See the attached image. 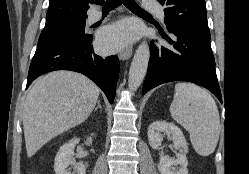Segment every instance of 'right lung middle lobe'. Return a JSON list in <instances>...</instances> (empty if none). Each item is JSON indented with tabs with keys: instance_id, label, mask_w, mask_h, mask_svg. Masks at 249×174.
I'll use <instances>...</instances> for the list:
<instances>
[{
	"instance_id": "obj_1",
	"label": "right lung middle lobe",
	"mask_w": 249,
	"mask_h": 174,
	"mask_svg": "<svg viewBox=\"0 0 249 174\" xmlns=\"http://www.w3.org/2000/svg\"><path fill=\"white\" fill-rule=\"evenodd\" d=\"M85 19L70 20L44 27L40 34L37 47H42L65 38H83L85 34Z\"/></svg>"
}]
</instances>
